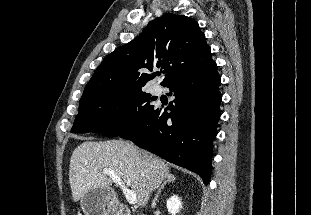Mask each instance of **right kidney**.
I'll return each instance as SVG.
<instances>
[{
  "instance_id": "right-kidney-1",
  "label": "right kidney",
  "mask_w": 311,
  "mask_h": 215,
  "mask_svg": "<svg viewBox=\"0 0 311 215\" xmlns=\"http://www.w3.org/2000/svg\"><path fill=\"white\" fill-rule=\"evenodd\" d=\"M166 207L170 214L176 215L182 208V202L178 196L173 195L167 200Z\"/></svg>"
}]
</instances>
